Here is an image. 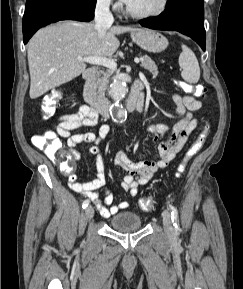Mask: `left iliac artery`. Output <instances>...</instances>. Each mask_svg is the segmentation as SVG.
<instances>
[{"label":"left iliac artery","instance_id":"1","mask_svg":"<svg viewBox=\"0 0 243 289\" xmlns=\"http://www.w3.org/2000/svg\"><path fill=\"white\" fill-rule=\"evenodd\" d=\"M169 208L171 210V219H172V222L174 224V227L178 228V212H177V209L171 204H169Z\"/></svg>","mask_w":243,"mask_h":289}]
</instances>
